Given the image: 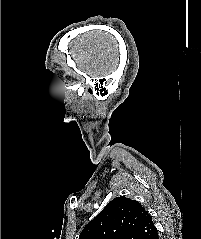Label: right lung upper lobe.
<instances>
[{"label":"right lung upper lobe","mask_w":201,"mask_h":239,"mask_svg":"<svg viewBox=\"0 0 201 239\" xmlns=\"http://www.w3.org/2000/svg\"><path fill=\"white\" fill-rule=\"evenodd\" d=\"M152 217L135 200L120 196L82 230L79 239H158Z\"/></svg>","instance_id":"cb5924a9"}]
</instances>
